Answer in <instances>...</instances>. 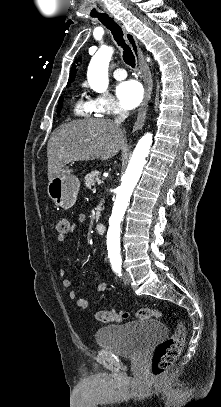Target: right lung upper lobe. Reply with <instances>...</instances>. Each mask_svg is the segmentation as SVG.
I'll return each mask as SVG.
<instances>
[{
	"label": "right lung upper lobe",
	"mask_w": 221,
	"mask_h": 407,
	"mask_svg": "<svg viewBox=\"0 0 221 407\" xmlns=\"http://www.w3.org/2000/svg\"><path fill=\"white\" fill-rule=\"evenodd\" d=\"M80 61H81V57H79L77 60H75L73 66L71 68V71H70V77H69V80H68V85H70V83L72 81H74L75 73H76V64H78Z\"/></svg>",
	"instance_id": "1"
}]
</instances>
